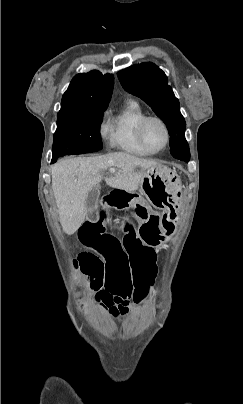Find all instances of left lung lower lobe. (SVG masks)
Instances as JSON below:
<instances>
[{"instance_id":"1","label":"left lung lower lobe","mask_w":243,"mask_h":404,"mask_svg":"<svg viewBox=\"0 0 243 404\" xmlns=\"http://www.w3.org/2000/svg\"><path fill=\"white\" fill-rule=\"evenodd\" d=\"M180 160L185 161V162H189L190 158H187V159H180Z\"/></svg>"}]
</instances>
